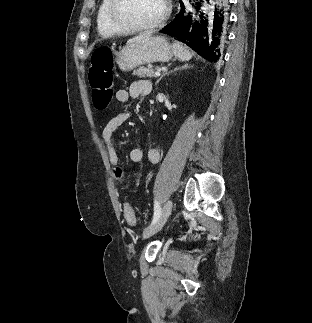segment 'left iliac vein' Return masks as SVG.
I'll use <instances>...</instances> for the list:
<instances>
[{
  "mask_svg": "<svg viewBox=\"0 0 312 323\" xmlns=\"http://www.w3.org/2000/svg\"><path fill=\"white\" fill-rule=\"evenodd\" d=\"M172 208H173V202H172V200H168L164 204L159 218L154 223H152L147 229H145V231L143 232L144 239L149 238L150 236L154 235L159 230H161V228L166 223L168 217L170 216Z\"/></svg>",
  "mask_w": 312,
  "mask_h": 323,
  "instance_id": "1",
  "label": "left iliac vein"
}]
</instances>
